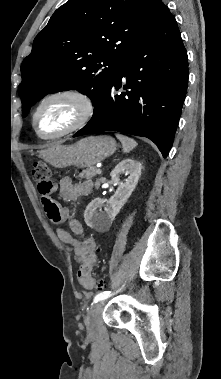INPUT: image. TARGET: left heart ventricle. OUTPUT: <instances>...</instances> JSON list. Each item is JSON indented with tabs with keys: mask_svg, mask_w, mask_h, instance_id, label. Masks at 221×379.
Here are the masks:
<instances>
[{
	"mask_svg": "<svg viewBox=\"0 0 221 379\" xmlns=\"http://www.w3.org/2000/svg\"><path fill=\"white\" fill-rule=\"evenodd\" d=\"M78 114L77 105L69 99H57L47 103L37 117V128L44 135L67 128Z\"/></svg>",
	"mask_w": 221,
	"mask_h": 379,
	"instance_id": "1",
	"label": "left heart ventricle"
}]
</instances>
